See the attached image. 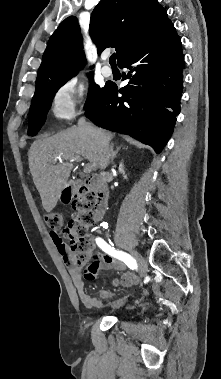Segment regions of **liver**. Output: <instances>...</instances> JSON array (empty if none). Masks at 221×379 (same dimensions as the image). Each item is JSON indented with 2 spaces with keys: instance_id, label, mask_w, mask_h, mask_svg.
<instances>
[{
  "instance_id": "liver-1",
  "label": "liver",
  "mask_w": 221,
  "mask_h": 379,
  "mask_svg": "<svg viewBox=\"0 0 221 379\" xmlns=\"http://www.w3.org/2000/svg\"><path fill=\"white\" fill-rule=\"evenodd\" d=\"M102 132L109 143L113 135ZM99 149L100 141L79 127L69 128L32 143L28 153L29 168L43 208L47 212L54 209L62 190L68 186V178L73 168L72 162L56 163V158L69 160L79 157L88 160L96 170L99 167Z\"/></svg>"
}]
</instances>
